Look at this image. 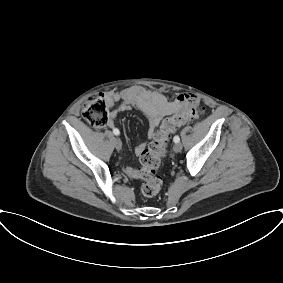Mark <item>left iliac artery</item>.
<instances>
[{
	"label": "left iliac artery",
	"mask_w": 283,
	"mask_h": 283,
	"mask_svg": "<svg viewBox=\"0 0 283 283\" xmlns=\"http://www.w3.org/2000/svg\"><path fill=\"white\" fill-rule=\"evenodd\" d=\"M173 141H174L175 143L179 142V141H180L179 136H174Z\"/></svg>",
	"instance_id": "obj_1"
}]
</instances>
